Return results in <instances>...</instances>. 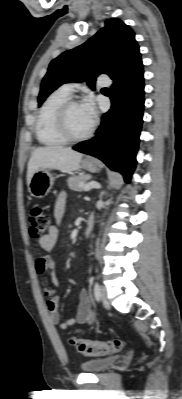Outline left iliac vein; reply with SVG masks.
Returning a JSON list of instances; mask_svg holds the SVG:
<instances>
[{"mask_svg":"<svg viewBox=\"0 0 182 399\" xmlns=\"http://www.w3.org/2000/svg\"><path fill=\"white\" fill-rule=\"evenodd\" d=\"M100 297H101V301H102L103 305H104L105 307H109V301H108V297H107V291H106L105 288H101V295H100Z\"/></svg>","mask_w":182,"mask_h":399,"instance_id":"left-iliac-vein-1","label":"left iliac vein"}]
</instances>
